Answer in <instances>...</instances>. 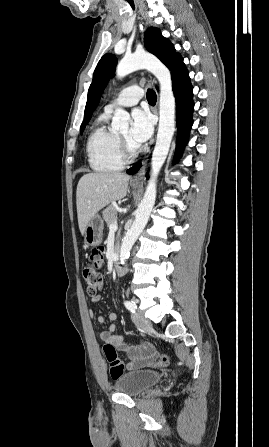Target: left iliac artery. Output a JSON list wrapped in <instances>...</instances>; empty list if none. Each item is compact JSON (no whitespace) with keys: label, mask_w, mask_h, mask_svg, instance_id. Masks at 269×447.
<instances>
[{"label":"left iliac artery","mask_w":269,"mask_h":447,"mask_svg":"<svg viewBox=\"0 0 269 447\" xmlns=\"http://www.w3.org/2000/svg\"><path fill=\"white\" fill-rule=\"evenodd\" d=\"M125 307L130 310L131 312H135L137 309V305L134 301H125L124 302Z\"/></svg>","instance_id":"obj_1"}]
</instances>
